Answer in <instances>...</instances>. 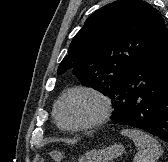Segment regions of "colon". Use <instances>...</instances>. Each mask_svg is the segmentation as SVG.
Returning a JSON list of instances; mask_svg holds the SVG:
<instances>
[{
    "label": "colon",
    "mask_w": 168,
    "mask_h": 162,
    "mask_svg": "<svg viewBox=\"0 0 168 162\" xmlns=\"http://www.w3.org/2000/svg\"><path fill=\"white\" fill-rule=\"evenodd\" d=\"M64 159V155L58 151H50L45 156H43L39 162H47L48 160L60 162Z\"/></svg>",
    "instance_id": "1"
}]
</instances>
